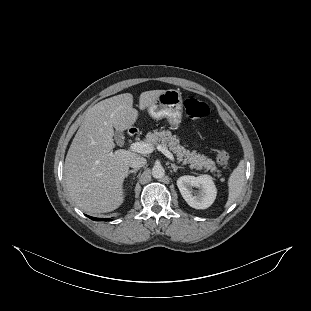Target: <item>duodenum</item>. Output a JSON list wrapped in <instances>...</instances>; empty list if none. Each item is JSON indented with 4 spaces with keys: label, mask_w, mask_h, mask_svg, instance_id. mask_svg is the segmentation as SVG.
Here are the masks:
<instances>
[{
    "label": "duodenum",
    "mask_w": 311,
    "mask_h": 311,
    "mask_svg": "<svg viewBox=\"0 0 311 311\" xmlns=\"http://www.w3.org/2000/svg\"><path fill=\"white\" fill-rule=\"evenodd\" d=\"M137 132H138V130H137L136 128H131V129L129 130V134H130L131 136L137 134Z\"/></svg>",
    "instance_id": "1"
}]
</instances>
